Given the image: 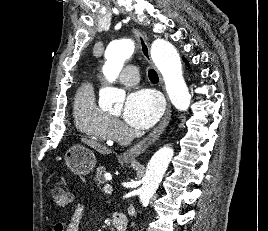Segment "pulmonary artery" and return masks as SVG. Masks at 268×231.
<instances>
[{
    "label": "pulmonary artery",
    "mask_w": 268,
    "mask_h": 231,
    "mask_svg": "<svg viewBox=\"0 0 268 231\" xmlns=\"http://www.w3.org/2000/svg\"><path fill=\"white\" fill-rule=\"evenodd\" d=\"M139 79L138 66L130 64L126 67L123 74L121 75L120 81L126 85H134ZM103 81L104 79L101 78Z\"/></svg>",
    "instance_id": "pulmonary-artery-1"
}]
</instances>
